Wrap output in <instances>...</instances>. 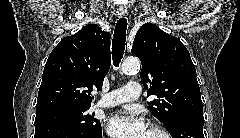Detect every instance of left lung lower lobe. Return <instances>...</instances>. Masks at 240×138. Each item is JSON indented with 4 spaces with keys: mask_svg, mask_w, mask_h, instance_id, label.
Returning <instances> with one entry per match:
<instances>
[{
    "mask_svg": "<svg viewBox=\"0 0 240 138\" xmlns=\"http://www.w3.org/2000/svg\"><path fill=\"white\" fill-rule=\"evenodd\" d=\"M203 114H190L177 120L168 130L172 138H204Z\"/></svg>",
    "mask_w": 240,
    "mask_h": 138,
    "instance_id": "0a47b994",
    "label": "left lung lower lobe"
}]
</instances>
